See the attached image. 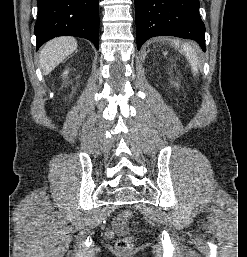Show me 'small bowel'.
<instances>
[{
  "label": "small bowel",
  "instance_id": "small-bowel-1",
  "mask_svg": "<svg viewBox=\"0 0 247 257\" xmlns=\"http://www.w3.org/2000/svg\"><path fill=\"white\" fill-rule=\"evenodd\" d=\"M113 227L117 233H122L125 231L124 223L120 217H116L113 220Z\"/></svg>",
  "mask_w": 247,
  "mask_h": 257
}]
</instances>
